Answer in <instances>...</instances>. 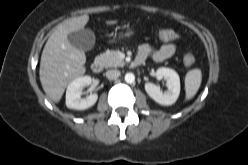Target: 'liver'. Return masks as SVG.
Returning <instances> with one entry per match:
<instances>
[{"label":"liver","mask_w":248,"mask_h":165,"mask_svg":"<svg viewBox=\"0 0 248 165\" xmlns=\"http://www.w3.org/2000/svg\"><path fill=\"white\" fill-rule=\"evenodd\" d=\"M89 20L82 15L65 20L56 26L48 38L40 61V82L47 96L58 103L67 85L85 73L86 55L68 40V34L81 30ZM117 21H107L115 24Z\"/></svg>","instance_id":"6515ba94"}]
</instances>
